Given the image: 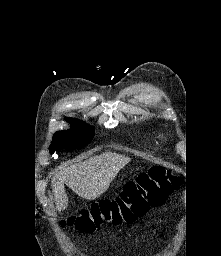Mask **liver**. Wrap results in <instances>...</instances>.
I'll return each instance as SVG.
<instances>
[{
	"label": "liver",
	"mask_w": 221,
	"mask_h": 256,
	"mask_svg": "<svg viewBox=\"0 0 221 256\" xmlns=\"http://www.w3.org/2000/svg\"><path fill=\"white\" fill-rule=\"evenodd\" d=\"M130 160L124 155L106 152L55 172L51 186L56 210L60 212L68 206L64 184L81 198L95 200L107 191L110 183Z\"/></svg>",
	"instance_id": "1"
}]
</instances>
